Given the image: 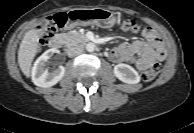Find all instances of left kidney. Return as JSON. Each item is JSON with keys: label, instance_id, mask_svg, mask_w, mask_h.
<instances>
[{"label": "left kidney", "instance_id": "5707ae66", "mask_svg": "<svg viewBox=\"0 0 194 133\" xmlns=\"http://www.w3.org/2000/svg\"><path fill=\"white\" fill-rule=\"evenodd\" d=\"M114 75L122 82L128 84H137L140 82L138 72L127 64H118L114 67Z\"/></svg>", "mask_w": 194, "mask_h": 133}]
</instances>
